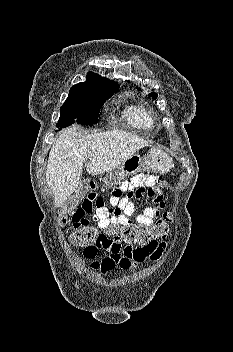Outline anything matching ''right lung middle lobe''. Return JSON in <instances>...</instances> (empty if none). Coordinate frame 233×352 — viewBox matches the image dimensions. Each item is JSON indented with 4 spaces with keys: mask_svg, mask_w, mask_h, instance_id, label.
<instances>
[{
    "mask_svg": "<svg viewBox=\"0 0 233 352\" xmlns=\"http://www.w3.org/2000/svg\"><path fill=\"white\" fill-rule=\"evenodd\" d=\"M116 91H108L100 87H86L69 95L61 106V116L56 127L61 129L74 123L96 124L102 105Z\"/></svg>",
    "mask_w": 233,
    "mask_h": 352,
    "instance_id": "obj_1",
    "label": "right lung middle lobe"
}]
</instances>
